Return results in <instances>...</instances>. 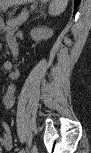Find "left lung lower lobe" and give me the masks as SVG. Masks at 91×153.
Returning <instances> with one entry per match:
<instances>
[{
  "label": "left lung lower lobe",
  "mask_w": 91,
  "mask_h": 153,
  "mask_svg": "<svg viewBox=\"0 0 91 153\" xmlns=\"http://www.w3.org/2000/svg\"><path fill=\"white\" fill-rule=\"evenodd\" d=\"M75 1V8H76V6L78 5V3H79V0H74Z\"/></svg>",
  "instance_id": "obj_1"
}]
</instances>
